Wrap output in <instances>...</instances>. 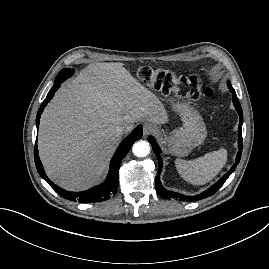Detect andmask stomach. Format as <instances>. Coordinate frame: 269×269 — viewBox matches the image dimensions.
I'll use <instances>...</instances> for the list:
<instances>
[{
	"label": "stomach",
	"mask_w": 269,
	"mask_h": 269,
	"mask_svg": "<svg viewBox=\"0 0 269 269\" xmlns=\"http://www.w3.org/2000/svg\"><path fill=\"white\" fill-rule=\"evenodd\" d=\"M182 119L183 125L172 135L159 134L160 140L167 146L168 151L178 157L187 156L193 148L201 145L207 137V131L202 117L188 104L174 105Z\"/></svg>",
	"instance_id": "1"
}]
</instances>
